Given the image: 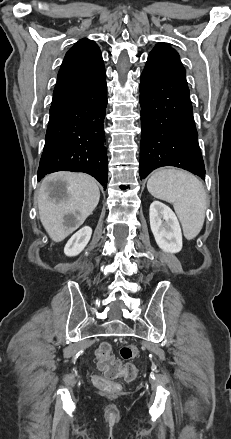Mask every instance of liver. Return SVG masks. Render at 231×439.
Returning a JSON list of instances; mask_svg holds the SVG:
<instances>
[{
    "label": "liver",
    "mask_w": 231,
    "mask_h": 439,
    "mask_svg": "<svg viewBox=\"0 0 231 439\" xmlns=\"http://www.w3.org/2000/svg\"><path fill=\"white\" fill-rule=\"evenodd\" d=\"M62 183L59 191L53 185ZM100 198L94 178L83 173L56 172L47 175L38 192L39 216L43 227L55 242H61L92 214ZM75 217L74 226L64 224L65 215Z\"/></svg>",
    "instance_id": "obj_1"
}]
</instances>
